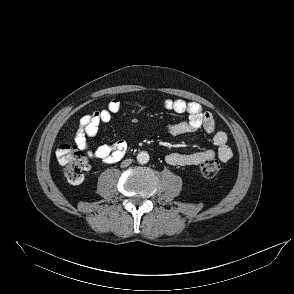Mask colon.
Segmentation results:
<instances>
[{"label":"colon","mask_w":294,"mask_h":294,"mask_svg":"<svg viewBox=\"0 0 294 294\" xmlns=\"http://www.w3.org/2000/svg\"><path fill=\"white\" fill-rule=\"evenodd\" d=\"M56 157L69 183L76 185L83 181L88 162L85 154L77 146L69 143L59 145ZM199 169L203 177L211 178L218 173L220 164L215 158H207L200 164Z\"/></svg>","instance_id":"1"}]
</instances>
